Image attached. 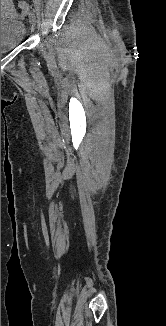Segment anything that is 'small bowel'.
<instances>
[{
    "instance_id": "1",
    "label": "small bowel",
    "mask_w": 166,
    "mask_h": 326,
    "mask_svg": "<svg viewBox=\"0 0 166 326\" xmlns=\"http://www.w3.org/2000/svg\"><path fill=\"white\" fill-rule=\"evenodd\" d=\"M7 1H8V0H1V2L4 3V4H5Z\"/></svg>"
}]
</instances>
